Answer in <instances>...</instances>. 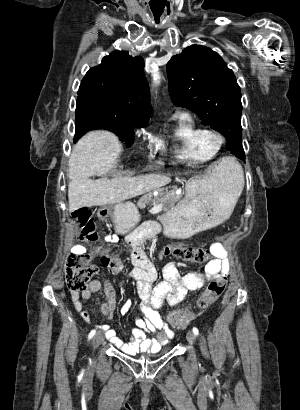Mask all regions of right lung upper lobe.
Returning <instances> with one entry per match:
<instances>
[{"mask_svg": "<svg viewBox=\"0 0 300 410\" xmlns=\"http://www.w3.org/2000/svg\"><path fill=\"white\" fill-rule=\"evenodd\" d=\"M79 89L100 94L109 114L123 120L144 123L153 114L142 57L111 53L87 72Z\"/></svg>", "mask_w": 300, "mask_h": 410, "instance_id": "cb5924a9", "label": "right lung upper lobe"}]
</instances>
